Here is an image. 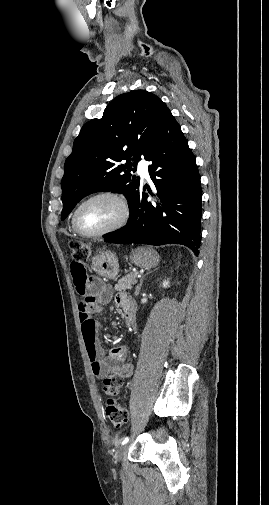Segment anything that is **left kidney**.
<instances>
[{
  "mask_svg": "<svg viewBox=\"0 0 269 505\" xmlns=\"http://www.w3.org/2000/svg\"><path fill=\"white\" fill-rule=\"evenodd\" d=\"M169 286H170V285H169V280H164V281L162 282V287H163V288H168Z\"/></svg>",
  "mask_w": 269,
  "mask_h": 505,
  "instance_id": "1",
  "label": "left kidney"
}]
</instances>
